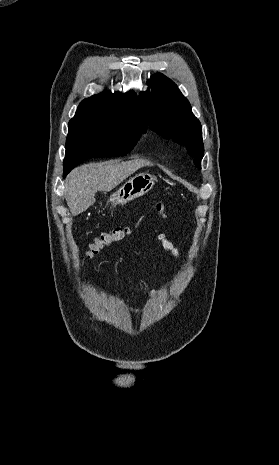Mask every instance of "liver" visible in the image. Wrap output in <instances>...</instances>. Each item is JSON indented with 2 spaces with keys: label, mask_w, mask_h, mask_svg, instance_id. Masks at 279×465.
I'll list each match as a JSON object with an SVG mask.
<instances>
[{
  "label": "liver",
  "mask_w": 279,
  "mask_h": 465,
  "mask_svg": "<svg viewBox=\"0 0 279 465\" xmlns=\"http://www.w3.org/2000/svg\"><path fill=\"white\" fill-rule=\"evenodd\" d=\"M152 166L143 159L90 163L74 169L68 177L67 205L73 216L86 211L95 203L98 191L109 192L138 169Z\"/></svg>",
  "instance_id": "6515ba94"
}]
</instances>
